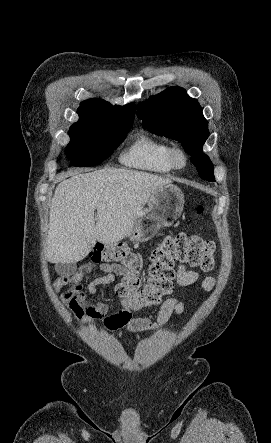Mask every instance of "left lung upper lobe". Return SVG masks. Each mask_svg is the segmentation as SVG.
Returning <instances> with one entry per match:
<instances>
[{
	"instance_id": "left-lung-upper-lobe-1",
	"label": "left lung upper lobe",
	"mask_w": 271,
	"mask_h": 443,
	"mask_svg": "<svg viewBox=\"0 0 271 443\" xmlns=\"http://www.w3.org/2000/svg\"><path fill=\"white\" fill-rule=\"evenodd\" d=\"M138 118L145 128L157 135L179 141L191 155L200 177L215 181L213 164L202 152L208 138V123L196 99L190 98L185 89L170 87L138 105Z\"/></svg>"
}]
</instances>
